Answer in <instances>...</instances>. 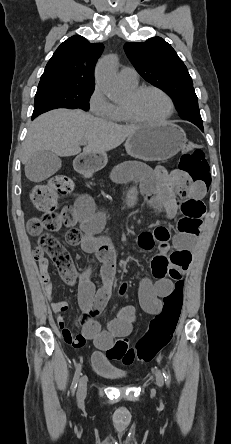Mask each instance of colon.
<instances>
[{
	"label": "colon",
	"instance_id": "5ec220e1",
	"mask_svg": "<svg viewBox=\"0 0 231 444\" xmlns=\"http://www.w3.org/2000/svg\"><path fill=\"white\" fill-rule=\"evenodd\" d=\"M175 176L186 182L210 183L207 158L198 143H187ZM72 188V181L65 176L34 186L30 200L33 206L41 211V215L34 216L27 222L28 233L39 236L37 250L48 255L67 280H71L74 274L71 257L60 242L48 232L56 231L72 221L70 209L58 211L60 198L70 193ZM204 212L203 204L185 201L182 204L183 217L178 222L179 232L197 235ZM156 232L163 236L168 235L165 228H158ZM183 289V281H175L173 291L164 298L163 310L151 321L148 331L135 344H131L126 337L119 338L107 350L106 356L124 365H131L135 361H152L174 335L183 304Z\"/></svg>",
	"mask_w": 231,
	"mask_h": 444
}]
</instances>
